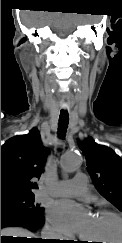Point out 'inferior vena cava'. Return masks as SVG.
<instances>
[{
  "instance_id": "602c4592",
  "label": "inferior vena cava",
  "mask_w": 122,
  "mask_h": 243,
  "mask_svg": "<svg viewBox=\"0 0 122 243\" xmlns=\"http://www.w3.org/2000/svg\"><path fill=\"white\" fill-rule=\"evenodd\" d=\"M41 236L43 239H59L58 234L48 227H45L42 230Z\"/></svg>"
}]
</instances>
